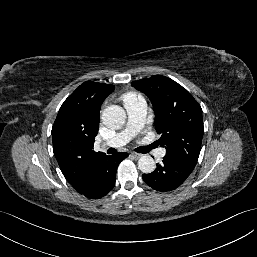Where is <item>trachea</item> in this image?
<instances>
[{
  "label": "trachea",
  "mask_w": 257,
  "mask_h": 257,
  "mask_svg": "<svg viewBox=\"0 0 257 257\" xmlns=\"http://www.w3.org/2000/svg\"><path fill=\"white\" fill-rule=\"evenodd\" d=\"M156 146L157 144L153 143L149 146L138 147L135 149V151L138 153H148L151 149L155 148ZM112 153H114L113 149H109L108 154H112Z\"/></svg>",
  "instance_id": "3493384b"
}]
</instances>
